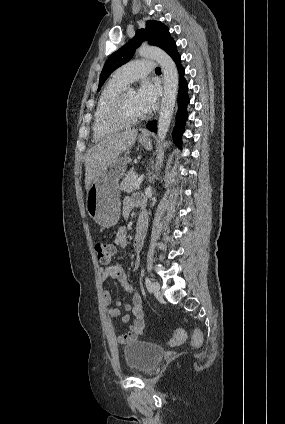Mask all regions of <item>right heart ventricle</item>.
Segmentation results:
<instances>
[{"label": "right heart ventricle", "instance_id": "obj_1", "mask_svg": "<svg viewBox=\"0 0 285 424\" xmlns=\"http://www.w3.org/2000/svg\"><path fill=\"white\" fill-rule=\"evenodd\" d=\"M125 87V84L119 82L112 76L103 88L94 112L93 135L96 140L109 137L122 129L119 125L109 123L106 113L112 101L125 89Z\"/></svg>", "mask_w": 285, "mask_h": 424}]
</instances>
